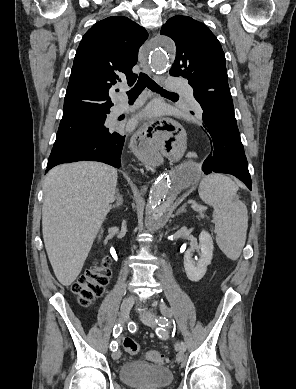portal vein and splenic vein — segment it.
<instances>
[{
    "mask_svg": "<svg viewBox=\"0 0 296 389\" xmlns=\"http://www.w3.org/2000/svg\"><path fill=\"white\" fill-rule=\"evenodd\" d=\"M188 203H191V204H192V208H193L194 210H197V211H198V205H197V204H195L192 200H189Z\"/></svg>",
    "mask_w": 296,
    "mask_h": 389,
    "instance_id": "portal-vein-and-splenic-vein-1",
    "label": "portal vein and splenic vein"
}]
</instances>
